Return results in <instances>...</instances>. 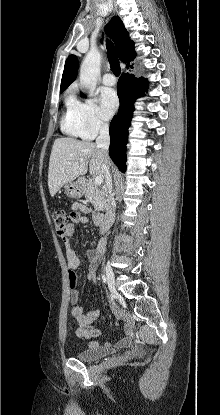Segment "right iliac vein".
Wrapping results in <instances>:
<instances>
[{"instance_id":"63e3f726","label":"right iliac vein","mask_w":220,"mask_h":415,"mask_svg":"<svg viewBox=\"0 0 220 415\" xmlns=\"http://www.w3.org/2000/svg\"><path fill=\"white\" fill-rule=\"evenodd\" d=\"M104 271H105V275H106V278H107V282H108L110 292H111V294L114 298H117L118 297V292H117L116 287H115V277H114L113 270H112V268L110 267L109 264H106Z\"/></svg>"}]
</instances>
